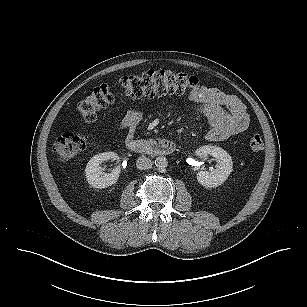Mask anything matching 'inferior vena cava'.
<instances>
[{"label": "inferior vena cava", "mask_w": 307, "mask_h": 307, "mask_svg": "<svg viewBox=\"0 0 307 307\" xmlns=\"http://www.w3.org/2000/svg\"><path fill=\"white\" fill-rule=\"evenodd\" d=\"M136 166L140 170L149 169L152 168V161L146 156H141L138 157Z\"/></svg>", "instance_id": "1"}]
</instances>
